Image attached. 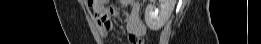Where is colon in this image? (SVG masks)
Returning a JSON list of instances; mask_svg holds the SVG:
<instances>
[{
    "label": "colon",
    "instance_id": "obj_1",
    "mask_svg": "<svg viewBox=\"0 0 261 44\" xmlns=\"http://www.w3.org/2000/svg\"><path fill=\"white\" fill-rule=\"evenodd\" d=\"M94 2H95V4H97L98 6H103L107 1L96 0V1H94ZM94 2H91V5H94ZM136 43H137V44H142L143 42H142L141 39H138V40L136 41Z\"/></svg>",
    "mask_w": 261,
    "mask_h": 44
}]
</instances>
